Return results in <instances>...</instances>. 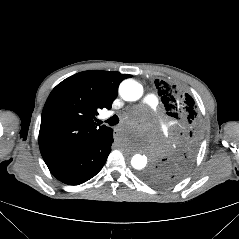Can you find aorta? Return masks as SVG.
<instances>
[{"label": "aorta", "mask_w": 239, "mask_h": 239, "mask_svg": "<svg viewBox=\"0 0 239 239\" xmlns=\"http://www.w3.org/2000/svg\"><path fill=\"white\" fill-rule=\"evenodd\" d=\"M119 92L124 100L136 101L142 96L143 88L136 81L126 79L120 84ZM150 160L151 157L146 154L135 153L131 158V165L137 170H142L148 165Z\"/></svg>", "instance_id": "762f6f07"}]
</instances>
